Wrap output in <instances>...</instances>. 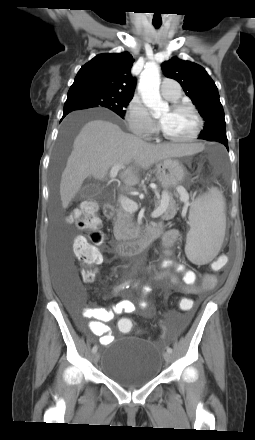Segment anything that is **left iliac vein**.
<instances>
[{"instance_id": "1", "label": "left iliac vein", "mask_w": 255, "mask_h": 440, "mask_svg": "<svg viewBox=\"0 0 255 440\" xmlns=\"http://www.w3.org/2000/svg\"><path fill=\"white\" fill-rule=\"evenodd\" d=\"M164 359H165V361H166L167 363H170L171 360H172V355H171V353H169V352H165V353H164Z\"/></svg>"}]
</instances>
